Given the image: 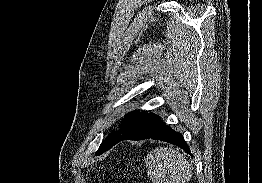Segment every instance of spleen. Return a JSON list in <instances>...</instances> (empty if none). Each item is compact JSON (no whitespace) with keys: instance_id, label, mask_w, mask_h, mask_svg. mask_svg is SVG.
<instances>
[{"instance_id":"1","label":"spleen","mask_w":262,"mask_h":183,"mask_svg":"<svg viewBox=\"0 0 262 183\" xmlns=\"http://www.w3.org/2000/svg\"><path fill=\"white\" fill-rule=\"evenodd\" d=\"M146 169L152 183H185L191 177V168L184 156L167 147L149 152Z\"/></svg>"}]
</instances>
